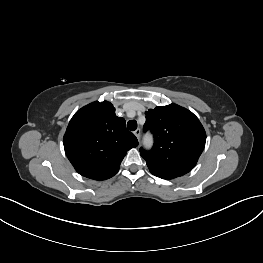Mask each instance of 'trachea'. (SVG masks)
Here are the masks:
<instances>
[{"label":"trachea","instance_id":"trachea-1","mask_svg":"<svg viewBox=\"0 0 263 263\" xmlns=\"http://www.w3.org/2000/svg\"><path fill=\"white\" fill-rule=\"evenodd\" d=\"M127 128L130 130V131H134L137 129V122L136 120H130L128 121L127 123Z\"/></svg>","mask_w":263,"mask_h":263}]
</instances>
